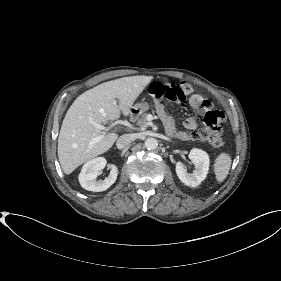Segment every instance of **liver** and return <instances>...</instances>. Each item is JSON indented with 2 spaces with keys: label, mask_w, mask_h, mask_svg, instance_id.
<instances>
[{
  "label": "liver",
  "mask_w": 281,
  "mask_h": 281,
  "mask_svg": "<svg viewBox=\"0 0 281 281\" xmlns=\"http://www.w3.org/2000/svg\"><path fill=\"white\" fill-rule=\"evenodd\" d=\"M152 76L137 75L102 83L76 98L68 109L58 137V158L65 174H71L86 161L108 151L118 135L109 133L91 145L90 141L103 133L91 121L105 124L121 114L128 116L134 101L152 80ZM116 99H118V103Z\"/></svg>",
  "instance_id": "6515ba94"
}]
</instances>
